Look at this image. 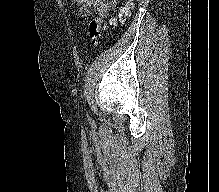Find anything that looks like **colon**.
Instances as JSON below:
<instances>
[{"label": "colon", "mask_w": 219, "mask_h": 192, "mask_svg": "<svg viewBox=\"0 0 219 192\" xmlns=\"http://www.w3.org/2000/svg\"><path fill=\"white\" fill-rule=\"evenodd\" d=\"M134 0H124L122 4L120 5L116 17L114 18V22L123 23L125 18L128 16L129 12L131 11L133 7ZM106 27L105 21L97 17L94 20L91 21L89 26V34L94 43L99 42L102 31Z\"/></svg>", "instance_id": "colon-1"}]
</instances>
